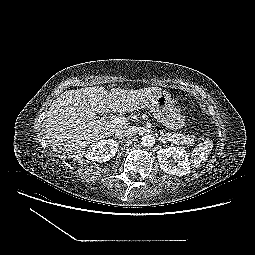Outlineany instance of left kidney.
Segmentation results:
<instances>
[{"mask_svg":"<svg viewBox=\"0 0 255 255\" xmlns=\"http://www.w3.org/2000/svg\"><path fill=\"white\" fill-rule=\"evenodd\" d=\"M158 163L165 173L171 175H186L190 172V163L188 154L183 147H174L160 149L157 152ZM173 158L172 160H168Z\"/></svg>","mask_w":255,"mask_h":255,"instance_id":"5707ae66","label":"left kidney"}]
</instances>
